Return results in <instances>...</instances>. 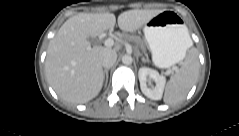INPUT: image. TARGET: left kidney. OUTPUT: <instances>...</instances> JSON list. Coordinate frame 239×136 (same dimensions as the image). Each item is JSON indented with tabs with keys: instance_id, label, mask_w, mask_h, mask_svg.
Segmentation results:
<instances>
[{
	"instance_id": "1",
	"label": "left kidney",
	"mask_w": 239,
	"mask_h": 136,
	"mask_svg": "<svg viewBox=\"0 0 239 136\" xmlns=\"http://www.w3.org/2000/svg\"><path fill=\"white\" fill-rule=\"evenodd\" d=\"M138 76L142 93L152 100H160L166 83L165 77L148 67L140 68ZM148 77L155 82V86L147 85Z\"/></svg>"
}]
</instances>
